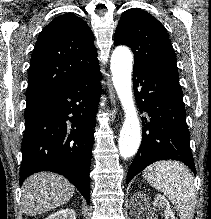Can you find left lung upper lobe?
I'll return each mask as SVG.
<instances>
[{"instance_id": "1", "label": "left lung upper lobe", "mask_w": 211, "mask_h": 219, "mask_svg": "<svg viewBox=\"0 0 211 219\" xmlns=\"http://www.w3.org/2000/svg\"><path fill=\"white\" fill-rule=\"evenodd\" d=\"M114 44L132 49L134 65L177 70L175 52L166 29L144 10L132 8L122 14Z\"/></svg>"}]
</instances>
